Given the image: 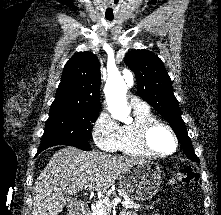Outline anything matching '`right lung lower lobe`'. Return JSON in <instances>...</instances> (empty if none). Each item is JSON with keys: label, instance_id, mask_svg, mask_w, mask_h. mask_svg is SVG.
Here are the masks:
<instances>
[{"label": "right lung lower lobe", "instance_id": "right-lung-lower-lobe-1", "mask_svg": "<svg viewBox=\"0 0 221 215\" xmlns=\"http://www.w3.org/2000/svg\"><path fill=\"white\" fill-rule=\"evenodd\" d=\"M69 146H74V147H77V148H80L84 151H88L90 150V145H89V141H77V142H72V143H69L67 144ZM51 146H40L37 150V154L38 155L39 153H41L43 150L49 148Z\"/></svg>", "mask_w": 221, "mask_h": 215}]
</instances>
